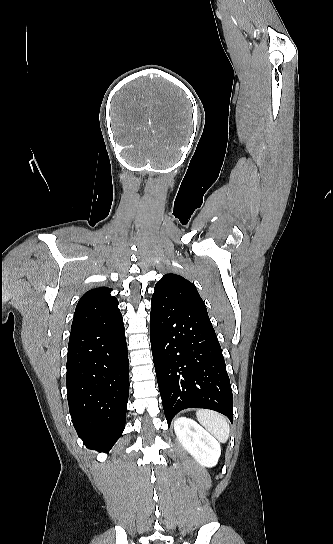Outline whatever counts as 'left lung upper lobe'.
Returning <instances> with one entry per match:
<instances>
[{
  "mask_svg": "<svg viewBox=\"0 0 333 544\" xmlns=\"http://www.w3.org/2000/svg\"><path fill=\"white\" fill-rule=\"evenodd\" d=\"M152 301L156 303L179 302L206 310L195 285L180 275L166 274L157 282Z\"/></svg>",
  "mask_w": 333,
  "mask_h": 544,
  "instance_id": "left-lung-upper-lobe-1",
  "label": "left lung upper lobe"
}]
</instances>
